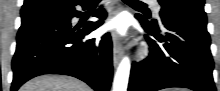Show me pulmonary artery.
<instances>
[{
  "label": "pulmonary artery",
  "mask_w": 220,
  "mask_h": 91,
  "mask_svg": "<svg viewBox=\"0 0 220 91\" xmlns=\"http://www.w3.org/2000/svg\"><path fill=\"white\" fill-rule=\"evenodd\" d=\"M148 2L151 3V4H153V6H154V12H155L156 14H159V12H160V7H159L157 1H155V0H149Z\"/></svg>",
  "instance_id": "e3ab8cb5"
}]
</instances>
